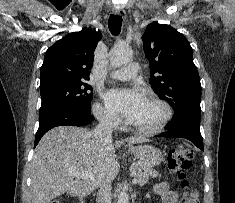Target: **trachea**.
Here are the masks:
<instances>
[{
  "instance_id": "obj_1",
  "label": "trachea",
  "mask_w": 235,
  "mask_h": 203,
  "mask_svg": "<svg viewBox=\"0 0 235 203\" xmlns=\"http://www.w3.org/2000/svg\"><path fill=\"white\" fill-rule=\"evenodd\" d=\"M122 17L118 15H110L108 20V27L112 35H118L121 31Z\"/></svg>"
}]
</instances>
